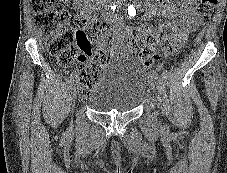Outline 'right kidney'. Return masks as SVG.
<instances>
[{"instance_id":"obj_1","label":"right kidney","mask_w":227,"mask_h":173,"mask_svg":"<svg viewBox=\"0 0 227 173\" xmlns=\"http://www.w3.org/2000/svg\"><path fill=\"white\" fill-rule=\"evenodd\" d=\"M74 1H76V6H75V7H77V6H78V7L82 6L81 3H82L83 0H74Z\"/></svg>"}]
</instances>
